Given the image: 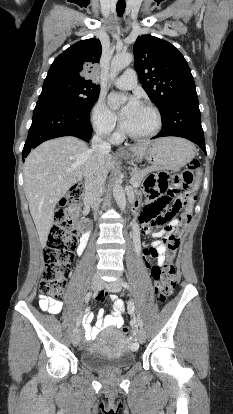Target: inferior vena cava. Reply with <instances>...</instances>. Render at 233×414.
I'll return each mask as SVG.
<instances>
[{"label":"inferior vena cava","instance_id":"1","mask_svg":"<svg viewBox=\"0 0 233 414\" xmlns=\"http://www.w3.org/2000/svg\"><path fill=\"white\" fill-rule=\"evenodd\" d=\"M111 151V145L103 140L102 133L97 131L92 138V148L85 169V197L84 202L90 204L94 210H98L100 198L104 192L107 169L104 157Z\"/></svg>","mask_w":233,"mask_h":414}]
</instances>
